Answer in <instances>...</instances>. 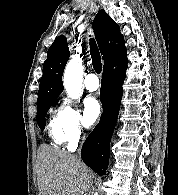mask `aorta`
I'll return each instance as SVG.
<instances>
[{
  "mask_svg": "<svg viewBox=\"0 0 178 195\" xmlns=\"http://www.w3.org/2000/svg\"><path fill=\"white\" fill-rule=\"evenodd\" d=\"M83 82V65L78 56L73 57L66 65L63 84L69 97L77 99L80 96Z\"/></svg>",
  "mask_w": 178,
  "mask_h": 195,
  "instance_id": "aorta-1",
  "label": "aorta"
}]
</instances>
